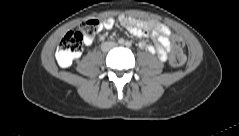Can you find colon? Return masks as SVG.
Returning a JSON list of instances; mask_svg holds the SVG:
<instances>
[{"instance_id": "1", "label": "colon", "mask_w": 239, "mask_h": 136, "mask_svg": "<svg viewBox=\"0 0 239 136\" xmlns=\"http://www.w3.org/2000/svg\"><path fill=\"white\" fill-rule=\"evenodd\" d=\"M98 20L90 19L83 22L77 31L68 32L60 41L56 52L59 66L69 67L74 59L81 53L85 38H92L99 30ZM173 52L169 58V65L173 68L180 67L185 61L184 41L178 35H173Z\"/></svg>"}]
</instances>
